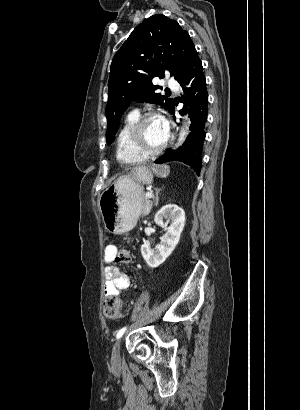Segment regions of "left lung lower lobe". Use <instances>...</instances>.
Instances as JSON below:
<instances>
[{
  "label": "left lung lower lobe",
  "mask_w": 300,
  "mask_h": 410,
  "mask_svg": "<svg viewBox=\"0 0 300 410\" xmlns=\"http://www.w3.org/2000/svg\"><path fill=\"white\" fill-rule=\"evenodd\" d=\"M178 82L182 86L183 111L186 113L188 110L190 114L191 133L177 151L168 150L155 163L180 161L189 165L199 175L202 164V148L206 137L205 123L208 114V93L202 63L198 54H195L188 70ZM171 113H174V107Z\"/></svg>",
  "instance_id": "left-lung-lower-lobe-1"
}]
</instances>
